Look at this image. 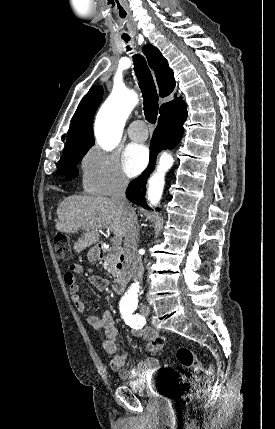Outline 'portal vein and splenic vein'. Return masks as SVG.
<instances>
[{
    "mask_svg": "<svg viewBox=\"0 0 275 429\" xmlns=\"http://www.w3.org/2000/svg\"><path fill=\"white\" fill-rule=\"evenodd\" d=\"M102 229H107V230H109V226H103V227H100L99 228V230L101 231ZM113 243H114V245H120L121 244V238L120 237H118V236H116L114 239H113Z\"/></svg>",
    "mask_w": 275,
    "mask_h": 429,
    "instance_id": "obj_1",
    "label": "portal vein and splenic vein"
}]
</instances>
